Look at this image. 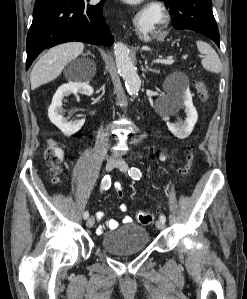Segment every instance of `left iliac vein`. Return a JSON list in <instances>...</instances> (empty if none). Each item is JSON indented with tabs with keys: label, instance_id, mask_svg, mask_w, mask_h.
<instances>
[{
	"label": "left iliac vein",
	"instance_id": "obj_1",
	"mask_svg": "<svg viewBox=\"0 0 247 299\" xmlns=\"http://www.w3.org/2000/svg\"><path fill=\"white\" fill-rule=\"evenodd\" d=\"M116 167L118 168V169H120L121 171H123V172H127V170H128V165H127V163L123 160V159H119V160H117V163H116ZM156 227L158 228V229H164L165 228V222H163L162 220H157L156 221Z\"/></svg>",
	"mask_w": 247,
	"mask_h": 299
}]
</instances>
